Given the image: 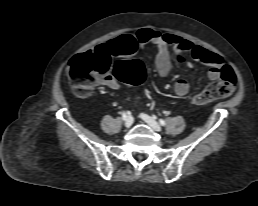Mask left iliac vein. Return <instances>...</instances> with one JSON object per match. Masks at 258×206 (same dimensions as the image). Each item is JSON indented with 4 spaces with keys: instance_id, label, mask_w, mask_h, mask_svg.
Returning a JSON list of instances; mask_svg holds the SVG:
<instances>
[{
    "instance_id": "left-iliac-vein-1",
    "label": "left iliac vein",
    "mask_w": 258,
    "mask_h": 206,
    "mask_svg": "<svg viewBox=\"0 0 258 206\" xmlns=\"http://www.w3.org/2000/svg\"><path fill=\"white\" fill-rule=\"evenodd\" d=\"M141 118L155 131H161V126L152 117L146 114H141Z\"/></svg>"
}]
</instances>
